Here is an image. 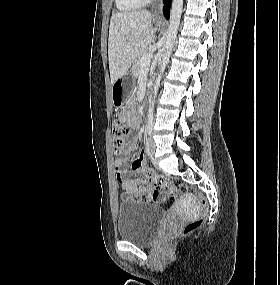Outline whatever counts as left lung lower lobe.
I'll return each instance as SVG.
<instances>
[{
  "label": "left lung lower lobe",
  "instance_id": "0a47b994",
  "mask_svg": "<svg viewBox=\"0 0 280 285\" xmlns=\"http://www.w3.org/2000/svg\"><path fill=\"white\" fill-rule=\"evenodd\" d=\"M171 0H164L163 12L166 19H169V9H170Z\"/></svg>",
  "mask_w": 280,
  "mask_h": 285
}]
</instances>
